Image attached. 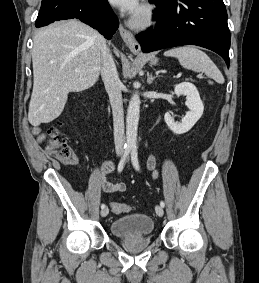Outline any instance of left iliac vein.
Listing matches in <instances>:
<instances>
[{
    "mask_svg": "<svg viewBox=\"0 0 259 283\" xmlns=\"http://www.w3.org/2000/svg\"><path fill=\"white\" fill-rule=\"evenodd\" d=\"M155 211H156V214L160 217H162L164 215V210H163V207L160 206V205H157L155 207Z\"/></svg>",
    "mask_w": 259,
    "mask_h": 283,
    "instance_id": "4c4485c4",
    "label": "left iliac vein"
}]
</instances>
